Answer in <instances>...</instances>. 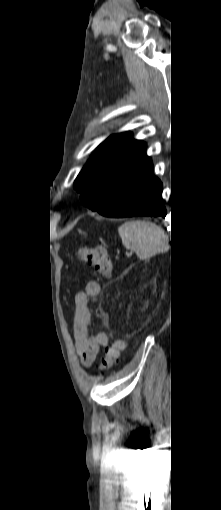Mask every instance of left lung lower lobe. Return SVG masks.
Returning <instances> with one entry per match:
<instances>
[{"label":"left lung lower lobe","instance_id":"0a47b994","mask_svg":"<svg viewBox=\"0 0 221 510\" xmlns=\"http://www.w3.org/2000/svg\"><path fill=\"white\" fill-rule=\"evenodd\" d=\"M106 217L161 216L167 212L162 202V183L153 175L150 163L104 208L96 209Z\"/></svg>","mask_w":221,"mask_h":510}]
</instances>
